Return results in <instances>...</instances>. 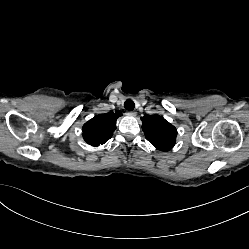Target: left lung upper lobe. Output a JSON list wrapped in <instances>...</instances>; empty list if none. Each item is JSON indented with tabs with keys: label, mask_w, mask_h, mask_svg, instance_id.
Wrapping results in <instances>:
<instances>
[{
	"label": "left lung upper lobe",
	"mask_w": 249,
	"mask_h": 249,
	"mask_svg": "<svg viewBox=\"0 0 249 249\" xmlns=\"http://www.w3.org/2000/svg\"><path fill=\"white\" fill-rule=\"evenodd\" d=\"M146 139L161 151L170 150L176 142L177 130L159 115H145L141 118Z\"/></svg>",
	"instance_id": "obj_1"
}]
</instances>
